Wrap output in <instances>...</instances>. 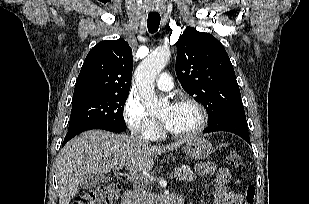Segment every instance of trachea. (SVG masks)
Returning a JSON list of instances; mask_svg holds the SVG:
<instances>
[{"label": "trachea", "mask_w": 309, "mask_h": 204, "mask_svg": "<svg viewBox=\"0 0 309 204\" xmlns=\"http://www.w3.org/2000/svg\"><path fill=\"white\" fill-rule=\"evenodd\" d=\"M160 15H148V30L150 33H155L160 25Z\"/></svg>", "instance_id": "1"}]
</instances>
